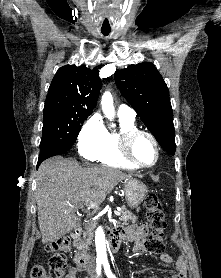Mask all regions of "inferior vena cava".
I'll use <instances>...</instances> for the list:
<instances>
[{
    "label": "inferior vena cava",
    "instance_id": "1",
    "mask_svg": "<svg viewBox=\"0 0 221 278\" xmlns=\"http://www.w3.org/2000/svg\"><path fill=\"white\" fill-rule=\"evenodd\" d=\"M87 270L88 272L95 271V262L93 257L90 259L89 263L87 264Z\"/></svg>",
    "mask_w": 221,
    "mask_h": 278
}]
</instances>
